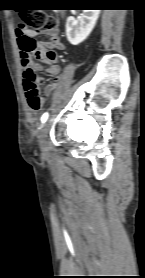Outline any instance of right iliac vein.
Listing matches in <instances>:
<instances>
[{"label":"right iliac vein","mask_w":145,"mask_h":278,"mask_svg":"<svg viewBox=\"0 0 145 278\" xmlns=\"http://www.w3.org/2000/svg\"><path fill=\"white\" fill-rule=\"evenodd\" d=\"M48 122H46L40 132L39 135V145L42 151H47L48 150V144H47V134H48Z\"/></svg>","instance_id":"63e3f726"}]
</instances>
